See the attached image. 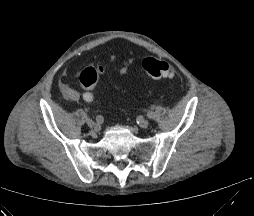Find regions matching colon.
<instances>
[{"mask_svg": "<svg viewBox=\"0 0 254 216\" xmlns=\"http://www.w3.org/2000/svg\"><path fill=\"white\" fill-rule=\"evenodd\" d=\"M142 67L146 75L152 79L177 80L175 69L164 60L149 57L143 60ZM102 73L103 68L100 66L86 68L79 77L81 85L87 90L94 89Z\"/></svg>", "mask_w": 254, "mask_h": 216, "instance_id": "colon-1", "label": "colon"}]
</instances>
